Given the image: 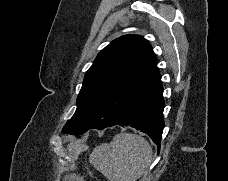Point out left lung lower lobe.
Segmentation results:
<instances>
[{"instance_id": "obj_1", "label": "left lung lower lobe", "mask_w": 228, "mask_h": 181, "mask_svg": "<svg viewBox=\"0 0 228 181\" xmlns=\"http://www.w3.org/2000/svg\"><path fill=\"white\" fill-rule=\"evenodd\" d=\"M162 95L161 75L156 64L133 91L122 118L112 126H131L147 133L157 145L159 153L164 128Z\"/></svg>"}]
</instances>
